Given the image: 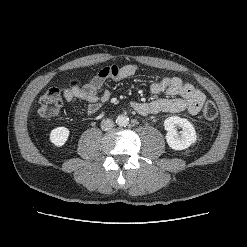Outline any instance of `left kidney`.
I'll return each mask as SVG.
<instances>
[{"label": "left kidney", "instance_id": "obj_1", "mask_svg": "<svg viewBox=\"0 0 247 247\" xmlns=\"http://www.w3.org/2000/svg\"><path fill=\"white\" fill-rule=\"evenodd\" d=\"M177 127L182 131L178 133ZM164 128L167 131L166 141L174 150H184L196 142L197 135L193 125L185 118L171 116L165 119Z\"/></svg>", "mask_w": 247, "mask_h": 247}]
</instances>
